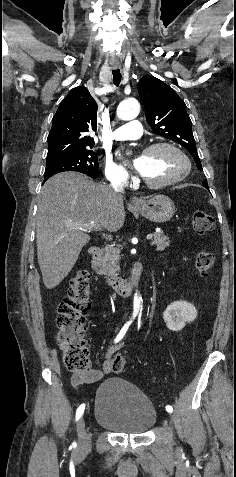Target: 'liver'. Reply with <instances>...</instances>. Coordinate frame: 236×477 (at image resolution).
<instances>
[{"label": "liver", "instance_id": "liver-1", "mask_svg": "<svg viewBox=\"0 0 236 477\" xmlns=\"http://www.w3.org/2000/svg\"><path fill=\"white\" fill-rule=\"evenodd\" d=\"M125 221L122 196L76 172L48 179L38 201L37 256L43 282L53 289L70 273L82 248L89 242L79 224L96 223L117 231Z\"/></svg>", "mask_w": 236, "mask_h": 477}]
</instances>
